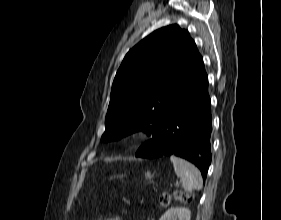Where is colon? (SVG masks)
<instances>
[{
  "label": "colon",
  "mask_w": 281,
  "mask_h": 220,
  "mask_svg": "<svg viewBox=\"0 0 281 220\" xmlns=\"http://www.w3.org/2000/svg\"><path fill=\"white\" fill-rule=\"evenodd\" d=\"M177 200L181 202H189L192 199V193L187 191H179L175 194ZM170 195L168 193H162L160 195V203L162 205H167L170 202ZM109 220H116V219H109Z\"/></svg>",
  "instance_id": "5ec220e1"
}]
</instances>
